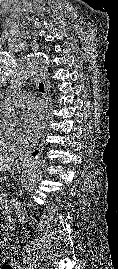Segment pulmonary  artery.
I'll list each match as a JSON object with an SVG mask.
<instances>
[{"instance_id": "e3ab8cb5", "label": "pulmonary artery", "mask_w": 118, "mask_h": 269, "mask_svg": "<svg viewBox=\"0 0 118 269\" xmlns=\"http://www.w3.org/2000/svg\"><path fill=\"white\" fill-rule=\"evenodd\" d=\"M33 99V95L28 91H21L15 94L14 103L17 105L29 103Z\"/></svg>"}]
</instances>
